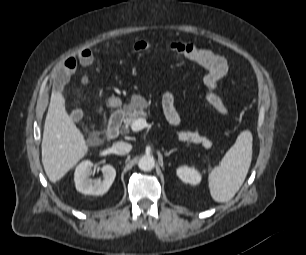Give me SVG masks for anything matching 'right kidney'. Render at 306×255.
Segmentation results:
<instances>
[{
  "label": "right kidney",
  "mask_w": 306,
  "mask_h": 255,
  "mask_svg": "<svg viewBox=\"0 0 306 255\" xmlns=\"http://www.w3.org/2000/svg\"><path fill=\"white\" fill-rule=\"evenodd\" d=\"M93 163L91 161L81 162L75 170L74 181L77 191L89 195H103L112 185L116 170L111 165H104L101 168L103 179L91 180L89 175L92 171Z\"/></svg>",
  "instance_id": "obj_1"
}]
</instances>
